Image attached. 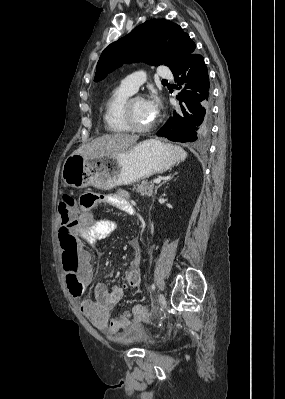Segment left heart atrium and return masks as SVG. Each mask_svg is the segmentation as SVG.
<instances>
[{"instance_id":"1","label":"left heart atrium","mask_w":285,"mask_h":399,"mask_svg":"<svg viewBox=\"0 0 285 399\" xmlns=\"http://www.w3.org/2000/svg\"><path fill=\"white\" fill-rule=\"evenodd\" d=\"M146 110L150 117L154 120L160 111L159 101L156 96H151L148 99L144 100Z\"/></svg>"}]
</instances>
